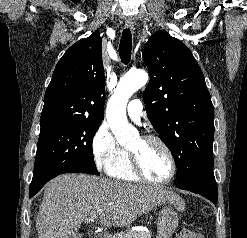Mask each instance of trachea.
Segmentation results:
<instances>
[{
	"instance_id": "1",
	"label": "trachea",
	"mask_w": 247,
	"mask_h": 238,
	"mask_svg": "<svg viewBox=\"0 0 247 238\" xmlns=\"http://www.w3.org/2000/svg\"><path fill=\"white\" fill-rule=\"evenodd\" d=\"M132 35L129 29H124L119 45V56L124 64H128L131 58Z\"/></svg>"
}]
</instances>
